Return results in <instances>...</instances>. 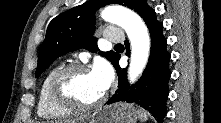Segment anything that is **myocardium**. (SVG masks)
<instances>
[{"instance_id": "myocardium-1", "label": "myocardium", "mask_w": 221, "mask_h": 123, "mask_svg": "<svg viewBox=\"0 0 221 123\" xmlns=\"http://www.w3.org/2000/svg\"><path fill=\"white\" fill-rule=\"evenodd\" d=\"M90 71L89 67L80 63H70L61 66L52 76L50 82V95L53 101L60 107L69 111H91L99 108L106 101L107 93L93 103H82L71 97L65 89L67 79L76 72Z\"/></svg>"}]
</instances>
